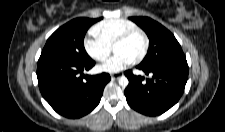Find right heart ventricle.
I'll return each instance as SVG.
<instances>
[{"label":"right heart ventricle","instance_id":"e07e8e85","mask_svg":"<svg viewBox=\"0 0 225 132\" xmlns=\"http://www.w3.org/2000/svg\"><path fill=\"white\" fill-rule=\"evenodd\" d=\"M133 28H137L134 22L123 18H114L98 23L94 27V33L99 40L112 48L121 34Z\"/></svg>","mask_w":225,"mask_h":132}]
</instances>
